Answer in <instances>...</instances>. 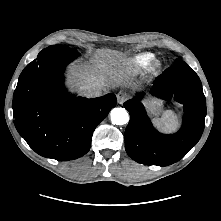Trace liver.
<instances>
[{
    "mask_svg": "<svg viewBox=\"0 0 221 221\" xmlns=\"http://www.w3.org/2000/svg\"><path fill=\"white\" fill-rule=\"evenodd\" d=\"M122 56L115 51H100L92 65L73 66L70 70L71 83L76 86L81 93L87 85H102L112 87L116 85H128V82L122 81L115 76H112L110 64H117Z\"/></svg>",
    "mask_w": 221,
    "mask_h": 221,
    "instance_id": "6515ba94",
    "label": "liver"
}]
</instances>
